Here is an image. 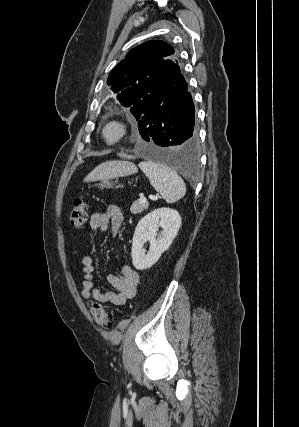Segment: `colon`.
Wrapping results in <instances>:
<instances>
[{"label": "colon", "mask_w": 299, "mask_h": 427, "mask_svg": "<svg viewBox=\"0 0 299 427\" xmlns=\"http://www.w3.org/2000/svg\"><path fill=\"white\" fill-rule=\"evenodd\" d=\"M87 219V203L85 198L80 195L73 201L69 213V223L74 229H80ZM92 317L97 325L103 328H109L111 325V316L99 303H92L90 305Z\"/></svg>", "instance_id": "1"}]
</instances>
